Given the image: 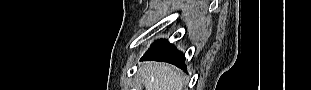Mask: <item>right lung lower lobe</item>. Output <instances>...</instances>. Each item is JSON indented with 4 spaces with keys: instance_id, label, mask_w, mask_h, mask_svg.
Returning <instances> with one entry per match:
<instances>
[{
    "instance_id": "obj_1",
    "label": "right lung lower lobe",
    "mask_w": 311,
    "mask_h": 90,
    "mask_svg": "<svg viewBox=\"0 0 311 90\" xmlns=\"http://www.w3.org/2000/svg\"><path fill=\"white\" fill-rule=\"evenodd\" d=\"M142 60L164 61L186 70L184 55L163 39L154 42Z\"/></svg>"
}]
</instances>
